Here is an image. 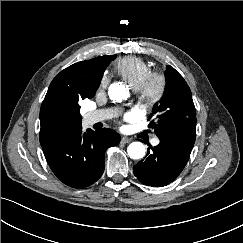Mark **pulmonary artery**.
Wrapping results in <instances>:
<instances>
[{
	"label": "pulmonary artery",
	"mask_w": 243,
	"mask_h": 243,
	"mask_svg": "<svg viewBox=\"0 0 243 243\" xmlns=\"http://www.w3.org/2000/svg\"><path fill=\"white\" fill-rule=\"evenodd\" d=\"M116 114L115 110L112 109H100V110H95L91 111L85 114L84 116V124L85 125H93L95 123L107 120L111 117H113ZM153 145H158L159 140L158 139H153L152 140Z\"/></svg>",
	"instance_id": "1"
}]
</instances>
